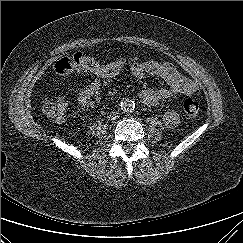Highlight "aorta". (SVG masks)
Wrapping results in <instances>:
<instances>
[{
  "mask_svg": "<svg viewBox=\"0 0 243 243\" xmlns=\"http://www.w3.org/2000/svg\"><path fill=\"white\" fill-rule=\"evenodd\" d=\"M120 108L124 112H132L134 110V108H135V103H134L133 100H131L129 98H124L120 102Z\"/></svg>",
  "mask_w": 243,
  "mask_h": 243,
  "instance_id": "aorta-1",
  "label": "aorta"
}]
</instances>
